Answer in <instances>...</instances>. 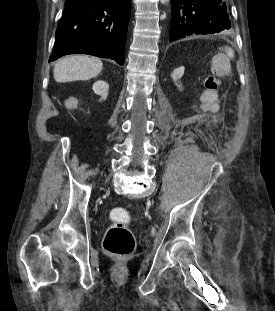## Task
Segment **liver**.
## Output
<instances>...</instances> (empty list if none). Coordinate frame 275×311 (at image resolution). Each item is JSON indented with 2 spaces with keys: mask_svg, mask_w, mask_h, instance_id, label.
<instances>
[{
  "mask_svg": "<svg viewBox=\"0 0 275 311\" xmlns=\"http://www.w3.org/2000/svg\"><path fill=\"white\" fill-rule=\"evenodd\" d=\"M103 69L100 59L85 55H73L60 59L54 66V79L58 83L88 80Z\"/></svg>",
  "mask_w": 275,
  "mask_h": 311,
  "instance_id": "6515ba94",
  "label": "liver"
}]
</instances>
